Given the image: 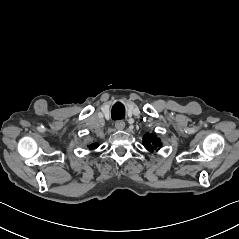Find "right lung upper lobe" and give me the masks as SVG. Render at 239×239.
Instances as JSON below:
<instances>
[{
  "mask_svg": "<svg viewBox=\"0 0 239 239\" xmlns=\"http://www.w3.org/2000/svg\"><path fill=\"white\" fill-rule=\"evenodd\" d=\"M98 147V143H93L91 145H89V149H95Z\"/></svg>",
  "mask_w": 239,
  "mask_h": 239,
  "instance_id": "right-lung-upper-lobe-1",
  "label": "right lung upper lobe"
}]
</instances>
